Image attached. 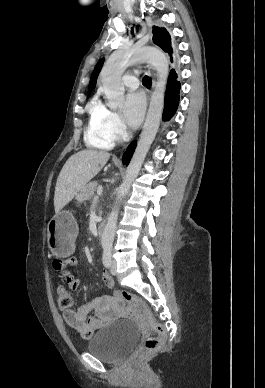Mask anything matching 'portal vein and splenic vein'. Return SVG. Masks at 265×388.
Returning a JSON list of instances; mask_svg holds the SVG:
<instances>
[{"mask_svg": "<svg viewBox=\"0 0 265 388\" xmlns=\"http://www.w3.org/2000/svg\"><path fill=\"white\" fill-rule=\"evenodd\" d=\"M102 192H103L102 186H98V188H97V194H98V196H101ZM98 196H96V198H98Z\"/></svg>", "mask_w": 265, "mask_h": 388, "instance_id": "1", "label": "portal vein and splenic vein"}]
</instances>
